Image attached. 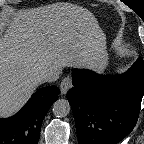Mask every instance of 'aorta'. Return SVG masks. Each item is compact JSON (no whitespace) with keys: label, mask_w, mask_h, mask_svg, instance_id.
<instances>
[{"label":"aorta","mask_w":144,"mask_h":144,"mask_svg":"<svg viewBox=\"0 0 144 144\" xmlns=\"http://www.w3.org/2000/svg\"><path fill=\"white\" fill-rule=\"evenodd\" d=\"M70 110V103L66 99H58L54 102L52 108L53 114L60 118L66 117L70 113Z\"/></svg>","instance_id":"1"}]
</instances>
